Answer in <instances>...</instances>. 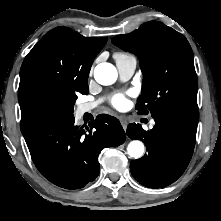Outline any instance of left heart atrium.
Returning <instances> with one entry per match:
<instances>
[{
	"instance_id": "1",
	"label": "left heart atrium",
	"mask_w": 221,
	"mask_h": 221,
	"mask_svg": "<svg viewBox=\"0 0 221 221\" xmlns=\"http://www.w3.org/2000/svg\"><path fill=\"white\" fill-rule=\"evenodd\" d=\"M112 105L117 109H122L127 105V98L125 94H117L112 99Z\"/></svg>"
}]
</instances>
